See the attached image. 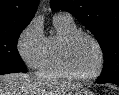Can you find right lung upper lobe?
<instances>
[{
    "label": "right lung upper lobe",
    "instance_id": "obj_1",
    "mask_svg": "<svg viewBox=\"0 0 119 95\" xmlns=\"http://www.w3.org/2000/svg\"><path fill=\"white\" fill-rule=\"evenodd\" d=\"M39 0H0V27L29 23Z\"/></svg>",
    "mask_w": 119,
    "mask_h": 95
}]
</instances>
